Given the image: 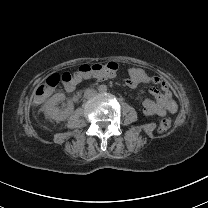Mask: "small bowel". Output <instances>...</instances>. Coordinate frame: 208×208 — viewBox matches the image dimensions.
I'll return each mask as SVG.
<instances>
[{
  "label": "small bowel",
  "mask_w": 208,
  "mask_h": 208,
  "mask_svg": "<svg viewBox=\"0 0 208 208\" xmlns=\"http://www.w3.org/2000/svg\"><path fill=\"white\" fill-rule=\"evenodd\" d=\"M128 77L125 79V84L128 87L135 88L140 83H152L160 86V90L151 89L150 94L154 99H145L142 102L143 113L146 116H165L168 113H175L177 104L173 99L172 92L167 82L158 75H148L140 68H130L127 70ZM108 77V76H107ZM105 75H96V82H105ZM110 77V76H109ZM113 78V77H112ZM76 85L65 86L67 91H72Z\"/></svg>",
  "instance_id": "1"
}]
</instances>
